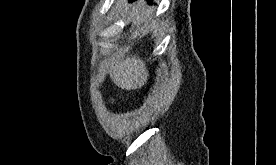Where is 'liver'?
Returning <instances> with one entry per match:
<instances>
[{"label":"liver","instance_id":"6515ba94","mask_svg":"<svg viewBox=\"0 0 276 165\" xmlns=\"http://www.w3.org/2000/svg\"><path fill=\"white\" fill-rule=\"evenodd\" d=\"M144 4V1H139L132 6L130 11L128 6L125 8L127 23L131 22L132 18L139 17L141 14L140 19L144 22V26L148 24V17L151 10H146L143 7ZM107 66L113 82L122 89L135 90L147 83L149 76L148 70L143 61L135 55L131 58L126 57V59L115 58L112 56L108 60Z\"/></svg>","mask_w":276,"mask_h":165}]
</instances>
